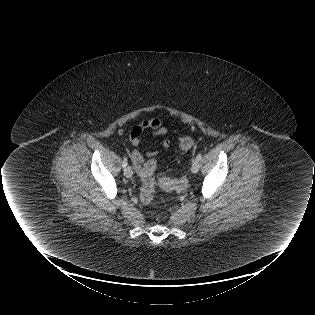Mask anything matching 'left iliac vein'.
<instances>
[{
	"label": "left iliac vein",
	"mask_w": 315,
	"mask_h": 315,
	"mask_svg": "<svg viewBox=\"0 0 315 315\" xmlns=\"http://www.w3.org/2000/svg\"><path fill=\"white\" fill-rule=\"evenodd\" d=\"M199 169H200L199 161L194 160L192 163V166H191L192 173H197L199 171Z\"/></svg>",
	"instance_id": "obj_1"
}]
</instances>
